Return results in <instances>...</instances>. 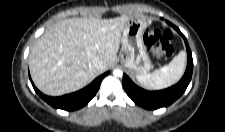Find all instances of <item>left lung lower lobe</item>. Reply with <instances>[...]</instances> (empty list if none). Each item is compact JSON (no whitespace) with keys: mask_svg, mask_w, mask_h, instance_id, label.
Segmentation results:
<instances>
[{"mask_svg":"<svg viewBox=\"0 0 225 132\" xmlns=\"http://www.w3.org/2000/svg\"><path fill=\"white\" fill-rule=\"evenodd\" d=\"M169 23V22H168ZM184 38L187 49V68L182 79L174 86L161 91H146L136 86L127 75H123V87L127 95L139 106L154 110L160 107H166L177 100L186 90L190 83L193 72L192 54L185 36L180 30L169 23Z\"/></svg>","mask_w":225,"mask_h":132,"instance_id":"obj_1","label":"left lung lower lobe"}]
</instances>
